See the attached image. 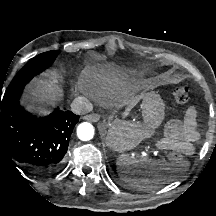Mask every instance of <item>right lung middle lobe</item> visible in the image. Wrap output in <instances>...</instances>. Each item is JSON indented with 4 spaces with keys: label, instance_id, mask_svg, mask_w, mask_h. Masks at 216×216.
I'll use <instances>...</instances> for the list:
<instances>
[{
    "label": "right lung middle lobe",
    "instance_id": "right-lung-middle-lobe-1",
    "mask_svg": "<svg viewBox=\"0 0 216 216\" xmlns=\"http://www.w3.org/2000/svg\"><path fill=\"white\" fill-rule=\"evenodd\" d=\"M59 51H48L29 60L26 65L13 78L12 82L6 89L2 100L9 96L19 94L23 91L25 85L37 74L47 69L55 60ZM1 102V95H0Z\"/></svg>",
    "mask_w": 216,
    "mask_h": 216
}]
</instances>
